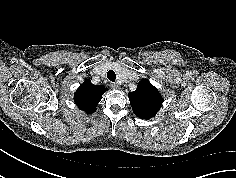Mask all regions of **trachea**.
<instances>
[{"label":"trachea","instance_id":"3493384b","mask_svg":"<svg viewBox=\"0 0 236 178\" xmlns=\"http://www.w3.org/2000/svg\"><path fill=\"white\" fill-rule=\"evenodd\" d=\"M107 78H108L110 81L114 82V81L116 80V74H115V72H114L113 70H109V71L107 72Z\"/></svg>","mask_w":236,"mask_h":178}]
</instances>
